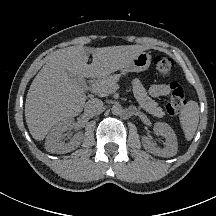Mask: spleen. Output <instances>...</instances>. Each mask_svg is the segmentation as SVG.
Masks as SVG:
<instances>
[{"mask_svg": "<svg viewBox=\"0 0 216 216\" xmlns=\"http://www.w3.org/2000/svg\"><path fill=\"white\" fill-rule=\"evenodd\" d=\"M179 122L186 140L190 141L195 134L199 122V106L197 102H188L181 111Z\"/></svg>", "mask_w": 216, "mask_h": 216, "instance_id": "3e777b00", "label": "spleen"}]
</instances>
